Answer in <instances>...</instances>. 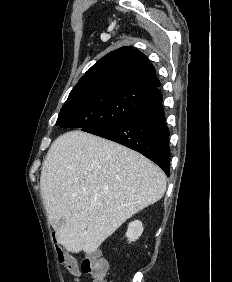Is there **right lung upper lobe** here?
Segmentation results:
<instances>
[{
	"mask_svg": "<svg viewBox=\"0 0 232 282\" xmlns=\"http://www.w3.org/2000/svg\"><path fill=\"white\" fill-rule=\"evenodd\" d=\"M155 68L137 49L124 46L111 51L94 64L70 92L75 96L111 89L135 90L147 94L154 106L162 101Z\"/></svg>",
	"mask_w": 232,
	"mask_h": 282,
	"instance_id": "cb5924a9",
	"label": "right lung upper lobe"
}]
</instances>
